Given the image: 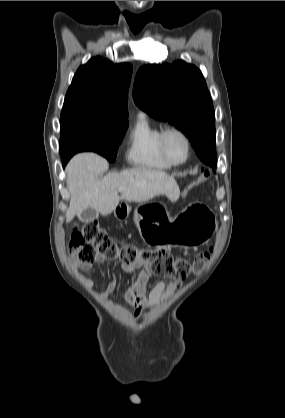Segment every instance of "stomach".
Listing matches in <instances>:
<instances>
[{"label": "stomach", "instance_id": "obj_1", "mask_svg": "<svg viewBox=\"0 0 285 418\" xmlns=\"http://www.w3.org/2000/svg\"><path fill=\"white\" fill-rule=\"evenodd\" d=\"M145 207L137 208L134 221L147 242L165 236L172 244L193 246L208 241L216 229L214 214L202 204L188 206L175 218L168 219V224L157 221Z\"/></svg>", "mask_w": 285, "mask_h": 418}]
</instances>
